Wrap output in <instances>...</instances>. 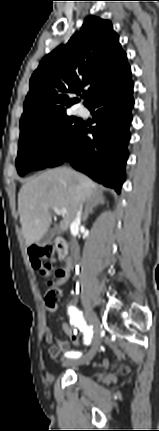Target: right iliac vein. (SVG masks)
<instances>
[{"mask_svg": "<svg viewBox=\"0 0 159 431\" xmlns=\"http://www.w3.org/2000/svg\"><path fill=\"white\" fill-rule=\"evenodd\" d=\"M85 317L94 331V340L91 349L83 356L75 359H67L63 362L64 366H79L90 362L96 355L100 344L99 320L96 314L88 307L85 308Z\"/></svg>", "mask_w": 159, "mask_h": 431, "instance_id": "1", "label": "right iliac vein"}]
</instances>
